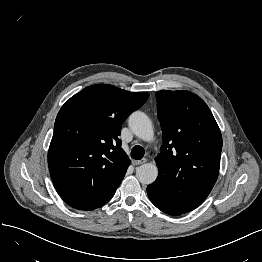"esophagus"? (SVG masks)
Wrapping results in <instances>:
<instances>
[{"mask_svg": "<svg viewBox=\"0 0 262 262\" xmlns=\"http://www.w3.org/2000/svg\"><path fill=\"white\" fill-rule=\"evenodd\" d=\"M146 162V159H142V160H132V164L133 165H141L143 163Z\"/></svg>", "mask_w": 262, "mask_h": 262, "instance_id": "obj_1", "label": "esophagus"}]
</instances>
